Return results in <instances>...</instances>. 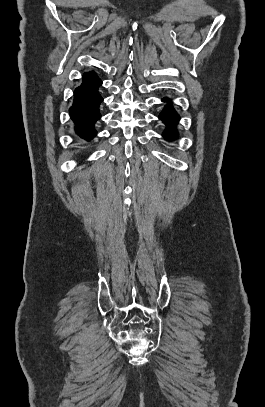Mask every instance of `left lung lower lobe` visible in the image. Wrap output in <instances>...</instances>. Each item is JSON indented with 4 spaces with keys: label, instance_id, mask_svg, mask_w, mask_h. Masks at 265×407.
Masks as SVG:
<instances>
[{
    "label": "left lung lower lobe",
    "instance_id": "left-lung-lower-lobe-1",
    "mask_svg": "<svg viewBox=\"0 0 265 407\" xmlns=\"http://www.w3.org/2000/svg\"><path fill=\"white\" fill-rule=\"evenodd\" d=\"M163 102H170L169 98L164 97ZM159 118L167 125V129L164 131L163 136L168 140H174L178 137L177 130L175 128L180 117L177 112L172 108V104L168 103L163 111L160 113Z\"/></svg>",
    "mask_w": 265,
    "mask_h": 407
}]
</instances>
